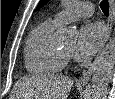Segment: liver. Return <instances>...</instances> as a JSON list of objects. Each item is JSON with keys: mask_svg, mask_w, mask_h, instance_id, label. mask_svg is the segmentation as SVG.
<instances>
[{"mask_svg": "<svg viewBox=\"0 0 115 99\" xmlns=\"http://www.w3.org/2000/svg\"><path fill=\"white\" fill-rule=\"evenodd\" d=\"M73 86L71 78L62 76L23 77L14 86L17 99H67Z\"/></svg>", "mask_w": 115, "mask_h": 99, "instance_id": "liver-1", "label": "liver"}]
</instances>
